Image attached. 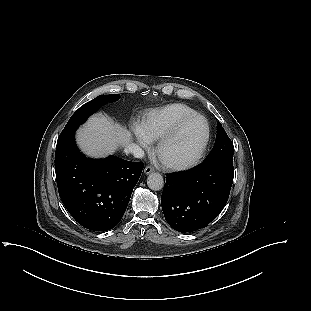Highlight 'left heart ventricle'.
Returning a JSON list of instances; mask_svg holds the SVG:
<instances>
[{
  "instance_id": "left-heart-ventricle-1",
  "label": "left heart ventricle",
  "mask_w": 311,
  "mask_h": 311,
  "mask_svg": "<svg viewBox=\"0 0 311 311\" xmlns=\"http://www.w3.org/2000/svg\"><path fill=\"white\" fill-rule=\"evenodd\" d=\"M204 123L196 118L184 126L181 132L169 142L164 150V158L183 161L191 158L198 150L204 137Z\"/></svg>"
}]
</instances>
